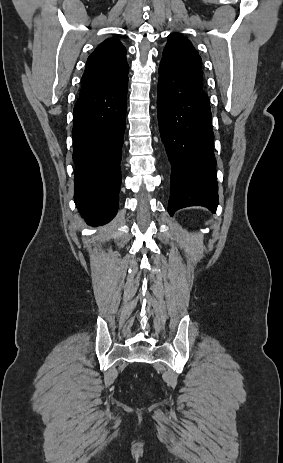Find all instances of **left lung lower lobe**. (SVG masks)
<instances>
[{
    "label": "left lung lower lobe",
    "instance_id": "1",
    "mask_svg": "<svg viewBox=\"0 0 283 463\" xmlns=\"http://www.w3.org/2000/svg\"><path fill=\"white\" fill-rule=\"evenodd\" d=\"M157 111L161 139L172 167L169 214L196 205L215 212L216 159L206 92L161 60Z\"/></svg>",
    "mask_w": 283,
    "mask_h": 463
}]
</instances>
